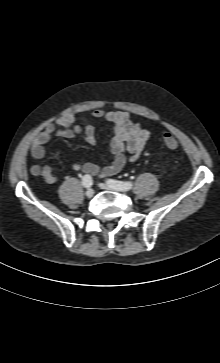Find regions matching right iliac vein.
Here are the masks:
<instances>
[{
  "label": "right iliac vein",
  "mask_w": 220,
  "mask_h": 363,
  "mask_svg": "<svg viewBox=\"0 0 220 363\" xmlns=\"http://www.w3.org/2000/svg\"><path fill=\"white\" fill-rule=\"evenodd\" d=\"M94 195V190L92 188H89L87 191H86V196L87 197H92Z\"/></svg>",
  "instance_id": "right-iliac-vein-1"
}]
</instances>
